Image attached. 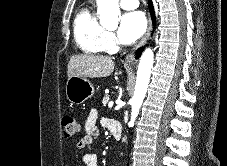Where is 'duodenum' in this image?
<instances>
[{
	"mask_svg": "<svg viewBox=\"0 0 227 166\" xmlns=\"http://www.w3.org/2000/svg\"><path fill=\"white\" fill-rule=\"evenodd\" d=\"M109 127H110L113 137L116 140H120L121 136H122V126H121L120 122L116 119H111L109 121Z\"/></svg>",
	"mask_w": 227,
	"mask_h": 166,
	"instance_id": "410a0bca",
	"label": "duodenum"
}]
</instances>
